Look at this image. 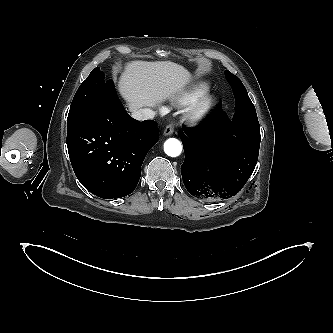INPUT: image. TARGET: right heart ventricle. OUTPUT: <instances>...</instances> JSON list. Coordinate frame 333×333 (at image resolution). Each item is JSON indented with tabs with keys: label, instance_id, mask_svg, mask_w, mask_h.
Returning a JSON list of instances; mask_svg holds the SVG:
<instances>
[{
	"label": "right heart ventricle",
	"instance_id": "e07e8e85",
	"mask_svg": "<svg viewBox=\"0 0 333 333\" xmlns=\"http://www.w3.org/2000/svg\"><path fill=\"white\" fill-rule=\"evenodd\" d=\"M209 90V85L207 83H197L182 93L178 99L177 103L179 105H189L194 103L199 98L204 96Z\"/></svg>",
	"mask_w": 333,
	"mask_h": 333
}]
</instances>
